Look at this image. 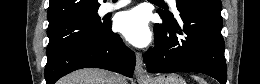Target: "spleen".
<instances>
[{
	"label": "spleen",
	"mask_w": 260,
	"mask_h": 84,
	"mask_svg": "<svg viewBox=\"0 0 260 84\" xmlns=\"http://www.w3.org/2000/svg\"><path fill=\"white\" fill-rule=\"evenodd\" d=\"M199 84H207V82L202 78V77H199V76H196V75H193L192 76Z\"/></svg>",
	"instance_id": "3e777b00"
}]
</instances>
